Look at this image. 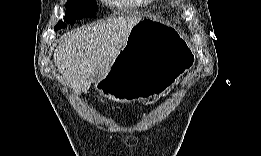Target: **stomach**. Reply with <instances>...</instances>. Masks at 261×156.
Segmentation results:
<instances>
[{
  "label": "stomach",
  "instance_id": "1",
  "mask_svg": "<svg viewBox=\"0 0 261 156\" xmlns=\"http://www.w3.org/2000/svg\"><path fill=\"white\" fill-rule=\"evenodd\" d=\"M158 38L169 40L170 53L157 54L143 65L129 68L128 60ZM193 60L192 52L178 29L162 21L142 19L131 30L107 76L97 81L95 88L118 102L145 101L168 90Z\"/></svg>",
  "mask_w": 261,
  "mask_h": 156
}]
</instances>
